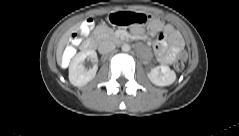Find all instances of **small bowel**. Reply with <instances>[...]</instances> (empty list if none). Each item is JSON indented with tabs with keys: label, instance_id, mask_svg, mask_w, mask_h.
<instances>
[{
	"label": "small bowel",
	"instance_id": "small-bowel-1",
	"mask_svg": "<svg viewBox=\"0 0 239 136\" xmlns=\"http://www.w3.org/2000/svg\"><path fill=\"white\" fill-rule=\"evenodd\" d=\"M151 30L158 31L164 29L171 38V45L167 47V41L164 37V34L159 33L158 42L154 45L155 53L157 60L161 64H172L178 58L181 53L182 41L179 34L173 30L170 25L164 26L160 21L154 20L149 25ZM143 30L141 28H137L136 30H132V33L136 36L141 35Z\"/></svg>",
	"mask_w": 239,
	"mask_h": 136
}]
</instances>
